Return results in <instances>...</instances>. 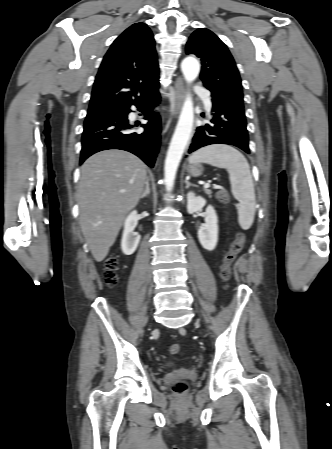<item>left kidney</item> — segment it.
I'll list each match as a JSON object with an SVG mask.
<instances>
[{
  "instance_id": "left-kidney-1",
  "label": "left kidney",
  "mask_w": 332,
  "mask_h": 449,
  "mask_svg": "<svg viewBox=\"0 0 332 449\" xmlns=\"http://www.w3.org/2000/svg\"><path fill=\"white\" fill-rule=\"evenodd\" d=\"M206 200L196 196L193 192L187 194V211L193 214L202 210ZM198 239L204 249L212 251L215 249L218 241V218L214 208L209 205L205 211V224L198 230Z\"/></svg>"
}]
</instances>
